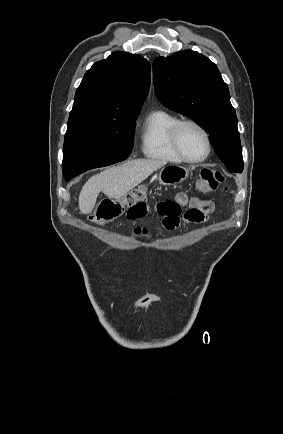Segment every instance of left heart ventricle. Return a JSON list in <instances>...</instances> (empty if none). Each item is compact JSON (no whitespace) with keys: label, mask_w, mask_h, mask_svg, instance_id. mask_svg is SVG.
<instances>
[{"label":"left heart ventricle","mask_w":283,"mask_h":434,"mask_svg":"<svg viewBox=\"0 0 283 434\" xmlns=\"http://www.w3.org/2000/svg\"><path fill=\"white\" fill-rule=\"evenodd\" d=\"M179 141L184 154L189 158L197 159L206 153L204 136L192 125H186L181 129Z\"/></svg>","instance_id":"obj_1"}]
</instances>
